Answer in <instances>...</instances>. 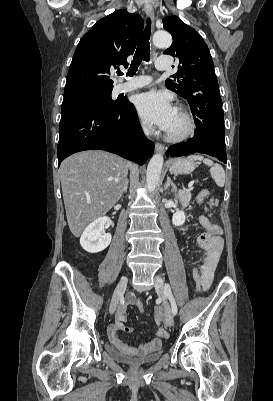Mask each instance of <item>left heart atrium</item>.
I'll use <instances>...</instances> for the list:
<instances>
[{
    "label": "left heart atrium",
    "mask_w": 273,
    "mask_h": 401,
    "mask_svg": "<svg viewBox=\"0 0 273 401\" xmlns=\"http://www.w3.org/2000/svg\"><path fill=\"white\" fill-rule=\"evenodd\" d=\"M136 106L145 122L158 126L165 131L176 112L170 99L158 92L140 94L137 98Z\"/></svg>",
    "instance_id": "left-heart-atrium-1"
}]
</instances>
